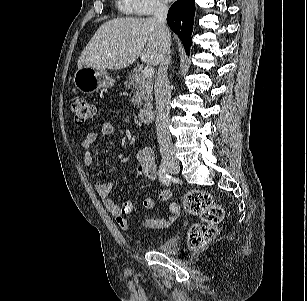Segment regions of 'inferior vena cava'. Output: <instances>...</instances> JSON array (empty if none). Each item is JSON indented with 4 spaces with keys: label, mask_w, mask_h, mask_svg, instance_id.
Listing matches in <instances>:
<instances>
[{
    "label": "inferior vena cava",
    "mask_w": 307,
    "mask_h": 301,
    "mask_svg": "<svg viewBox=\"0 0 307 301\" xmlns=\"http://www.w3.org/2000/svg\"><path fill=\"white\" fill-rule=\"evenodd\" d=\"M168 6L160 2L155 7L154 18L157 20L161 30L162 58L155 79L154 93L156 100V132L161 155L172 154L173 144L169 131L170 122V98L167 69L171 61L170 56V32L166 26Z\"/></svg>",
    "instance_id": "inferior-vena-cava-1"
}]
</instances>
